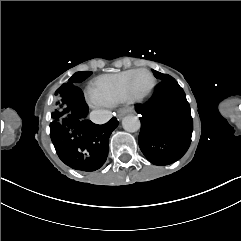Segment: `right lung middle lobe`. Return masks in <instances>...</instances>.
Here are the masks:
<instances>
[{"instance_id": "dd1d6c3e", "label": "right lung middle lobe", "mask_w": 241, "mask_h": 241, "mask_svg": "<svg viewBox=\"0 0 241 241\" xmlns=\"http://www.w3.org/2000/svg\"><path fill=\"white\" fill-rule=\"evenodd\" d=\"M91 74L92 72L90 71L77 72L69 79L68 83L63 84L61 87H59L56 90L52 101V113H51L52 120L64 118L70 113L69 100H68L69 86L77 85V83L82 82L83 80L88 78Z\"/></svg>"}]
</instances>
